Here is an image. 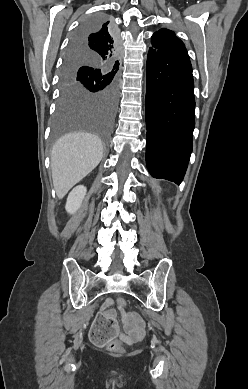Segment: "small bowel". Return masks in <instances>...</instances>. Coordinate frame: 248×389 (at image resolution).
<instances>
[{"mask_svg":"<svg viewBox=\"0 0 248 389\" xmlns=\"http://www.w3.org/2000/svg\"><path fill=\"white\" fill-rule=\"evenodd\" d=\"M114 300L112 298H107L103 303L102 309L105 312V315H108L109 318H115L116 313L109 308L113 305ZM122 325L127 338L129 340H138L144 332V325L136 313H122ZM123 338H126L122 335Z\"/></svg>","mask_w":248,"mask_h":389,"instance_id":"c3829d8e","label":"small bowel"}]
</instances>
